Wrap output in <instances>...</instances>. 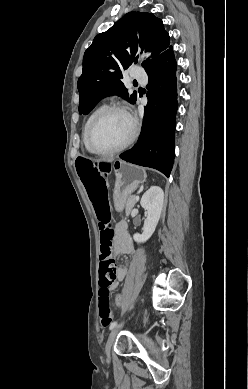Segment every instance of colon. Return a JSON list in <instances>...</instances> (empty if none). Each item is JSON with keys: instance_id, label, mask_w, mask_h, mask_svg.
<instances>
[{"instance_id": "colon-1", "label": "colon", "mask_w": 248, "mask_h": 389, "mask_svg": "<svg viewBox=\"0 0 248 389\" xmlns=\"http://www.w3.org/2000/svg\"><path fill=\"white\" fill-rule=\"evenodd\" d=\"M81 181L86 189L90 201L93 203L100 227V293L99 317L102 327H107L113 320L110 304V290L117 280L115 261L110 255L111 246L115 237V227L112 221L107 195V179L112 171L110 161H94L88 157H76ZM125 293L118 291L115 294V306L121 307L125 303Z\"/></svg>"}]
</instances>
